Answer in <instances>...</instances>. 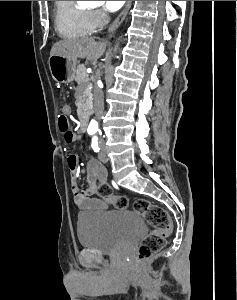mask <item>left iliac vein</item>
<instances>
[{
	"label": "left iliac vein",
	"instance_id": "left-iliac-vein-1",
	"mask_svg": "<svg viewBox=\"0 0 237 300\" xmlns=\"http://www.w3.org/2000/svg\"><path fill=\"white\" fill-rule=\"evenodd\" d=\"M98 157H99V160H100L101 162H103V163H107V162H108V159H107V156H106V152H105L104 147L102 148V151L99 152Z\"/></svg>",
	"mask_w": 237,
	"mask_h": 300
}]
</instances>
